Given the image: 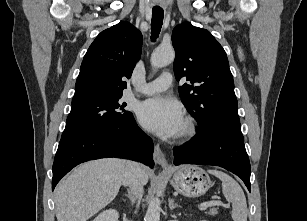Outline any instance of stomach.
Instances as JSON below:
<instances>
[{
    "mask_svg": "<svg viewBox=\"0 0 307 221\" xmlns=\"http://www.w3.org/2000/svg\"><path fill=\"white\" fill-rule=\"evenodd\" d=\"M172 186L187 197H199L211 187L207 172L194 165L179 166L173 174Z\"/></svg>",
    "mask_w": 307,
    "mask_h": 221,
    "instance_id": "1",
    "label": "stomach"
}]
</instances>
